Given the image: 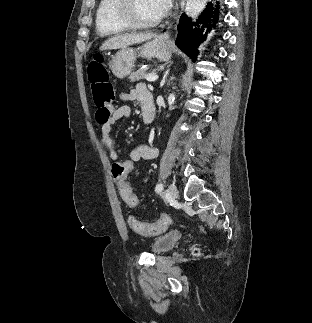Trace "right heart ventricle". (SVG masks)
<instances>
[{
	"label": "right heart ventricle",
	"instance_id": "obj_1",
	"mask_svg": "<svg viewBox=\"0 0 312 323\" xmlns=\"http://www.w3.org/2000/svg\"><path fill=\"white\" fill-rule=\"evenodd\" d=\"M115 0H97L94 9V23L101 33H119V29H129V22L119 13Z\"/></svg>",
	"mask_w": 312,
	"mask_h": 323
}]
</instances>
